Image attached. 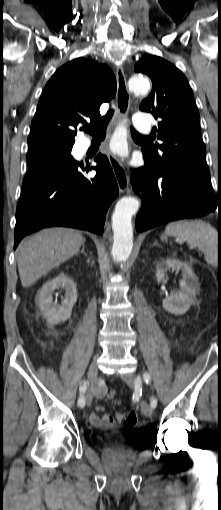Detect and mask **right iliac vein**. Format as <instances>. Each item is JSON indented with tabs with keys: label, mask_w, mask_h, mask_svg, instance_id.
I'll list each match as a JSON object with an SVG mask.
<instances>
[{
	"label": "right iliac vein",
	"mask_w": 221,
	"mask_h": 510,
	"mask_svg": "<svg viewBox=\"0 0 221 510\" xmlns=\"http://www.w3.org/2000/svg\"><path fill=\"white\" fill-rule=\"evenodd\" d=\"M97 374H98L97 363H96V361H93L91 363V365L89 366L88 374H87L89 387H88V390L86 393V401H87L88 406H90L92 404L94 395L97 392V389H96Z\"/></svg>",
	"instance_id": "1"
}]
</instances>
